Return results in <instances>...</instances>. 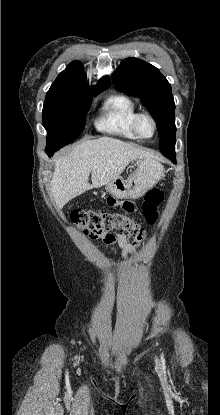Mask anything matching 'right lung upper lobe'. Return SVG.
Here are the masks:
<instances>
[{
  "mask_svg": "<svg viewBox=\"0 0 220 415\" xmlns=\"http://www.w3.org/2000/svg\"><path fill=\"white\" fill-rule=\"evenodd\" d=\"M83 66L78 61H73L61 72L49 91H62L72 93L89 94L104 90L110 84V78L104 77L94 87H88L87 78L83 72Z\"/></svg>",
  "mask_w": 220,
  "mask_h": 415,
  "instance_id": "1",
  "label": "right lung upper lobe"
}]
</instances>
